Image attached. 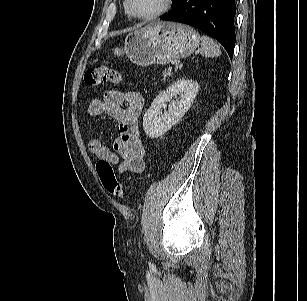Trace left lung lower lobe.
I'll return each instance as SVG.
<instances>
[{
  "instance_id": "1",
  "label": "left lung lower lobe",
  "mask_w": 307,
  "mask_h": 301,
  "mask_svg": "<svg viewBox=\"0 0 307 301\" xmlns=\"http://www.w3.org/2000/svg\"><path fill=\"white\" fill-rule=\"evenodd\" d=\"M235 0H180L161 20L192 25L218 40L232 59L236 42Z\"/></svg>"
}]
</instances>
